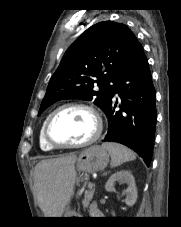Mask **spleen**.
I'll list each match as a JSON object with an SVG mask.
<instances>
[{"mask_svg": "<svg viewBox=\"0 0 181 227\" xmlns=\"http://www.w3.org/2000/svg\"><path fill=\"white\" fill-rule=\"evenodd\" d=\"M102 147L105 148L111 156V167L120 166L124 162L136 158L133 151L119 143L105 142L102 144Z\"/></svg>", "mask_w": 181, "mask_h": 227, "instance_id": "1", "label": "spleen"}]
</instances>
